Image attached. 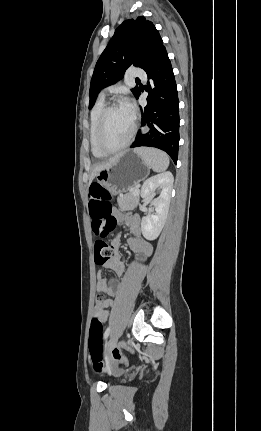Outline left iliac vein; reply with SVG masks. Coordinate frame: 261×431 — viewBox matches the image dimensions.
Segmentation results:
<instances>
[{
    "label": "left iliac vein",
    "mask_w": 261,
    "mask_h": 431,
    "mask_svg": "<svg viewBox=\"0 0 261 431\" xmlns=\"http://www.w3.org/2000/svg\"><path fill=\"white\" fill-rule=\"evenodd\" d=\"M117 341H118V334H117V333H115V334H113V335L110 337L109 341L107 342L104 353H105V354L110 353V351H111V350L114 348V346L116 345Z\"/></svg>",
    "instance_id": "left-iliac-vein-1"
}]
</instances>
